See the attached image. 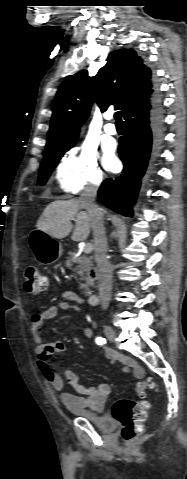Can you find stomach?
Returning a JSON list of instances; mask_svg holds the SVG:
<instances>
[{"instance_id":"obj_1","label":"stomach","mask_w":187,"mask_h":479,"mask_svg":"<svg viewBox=\"0 0 187 479\" xmlns=\"http://www.w3.org/2000/svg\"><path fill=\"white\" fill-rule=\"evenodd\" d=\"M29 246L35 260L41 265H49L62 256V244L47 233L36 229L29 235Z\"/></svg>"}]
</instances>
